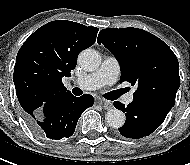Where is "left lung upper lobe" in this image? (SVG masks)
Wrapping results in <instances>:
<instances>
[{"mask_svg": "<svg viewBox=\"0 0 190 165\" xmlns=\"http://www.w3.org/2000/svg\"><path fill=\"white\" fill-rule=\"evenodd\" d=\"M97 41L120 63V83L128 81L137 87L134 100L174 106L180 86L179 63L166 43L138 28L103 29Z\"/></svg>", "mask_w": 190, "mask_h": 165, "instance_id": "1", "label": "left lung upper lobe"}]
</instances>
